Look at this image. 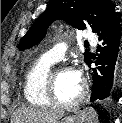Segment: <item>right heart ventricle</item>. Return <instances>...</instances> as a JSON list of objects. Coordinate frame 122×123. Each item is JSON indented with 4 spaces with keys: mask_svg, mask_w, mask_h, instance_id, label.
Masks as SVG:
<instances>
[{
    "mask_svg": "<svg viewBox=\"0 0 122 123\" xmlns=\"http://www.w3.org/2000/svg\"><path fill=\"white\" fill-rule=\"evenodd\" d=\"M55 61L45 55L36 60L25 76L24 96L36 107H49L52 103L46 95V83L49 71Z\"/></svg>",
    "mask_w": 122,
    "mask_h": 123,
    "instance_id": "e07e8e85",
    "label": "right heart ventricle"
}]
</instances>
